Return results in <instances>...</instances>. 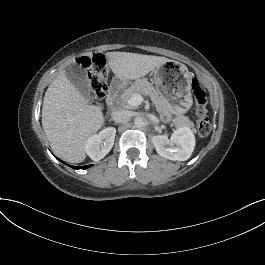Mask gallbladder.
<instances>
[{"label":"gallbladder","instance_id":"obj_1","mask_svg":"<svg viewBox=\"0 0 265 265\" xmlns=\"http://www.w3.org/2000/svg\"><path fill=\"white\" fill-rule=\"evenodd\" d=\"M66 70L69 80L76 86V88L80 92H82L85 96L89 98V100H91L90 82L88 80L87 70L83 69L76 62H72Z\"/></svg>","mask_w":265,"mask_h":265}]
</instances>
